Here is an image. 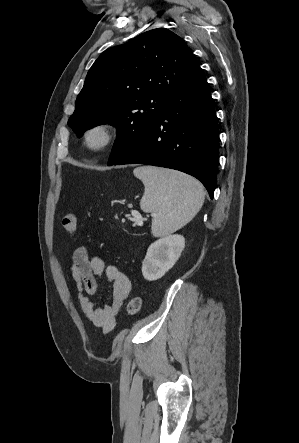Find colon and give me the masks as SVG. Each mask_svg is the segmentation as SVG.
I'll return each mask as SVG.
<instances>
[{
    "mask_svg": "<svg viewBox=\"0 0 299 443\" xmlns=\"http://www.w3.org/2000/svg\"><path fill=\"white\" fill-rule=\"evenodd\" d=\"M62 226L69 237H73L77 228V219L74 213L66 212L62 218ZM141 299L138 296L132 297L127 303V314L130 316L136 315L141 309Z\"/></svg>",
    "mask_w": 299,
    "mask_h": 443,
    "instance_id": "5ec220e1",
    "label": "colon"
}]
</instances>
